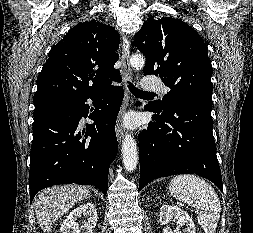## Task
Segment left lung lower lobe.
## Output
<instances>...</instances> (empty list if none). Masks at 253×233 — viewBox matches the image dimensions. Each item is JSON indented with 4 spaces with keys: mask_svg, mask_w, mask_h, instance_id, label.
Here are the masks:
<instances>
[{
    "mask_svg": "<svg viewBox=\"0 0 253 233\" xmlns=\"http://www.w3.org/2000/svg\"><path fill=\"white\" fill-rule=\"evenodd\" d=\"M144 109L155 113L156 122H150L139 135V190L160 177L197 174L223 191L212 132V103L194 99L165 111L154 103Z\"/></svg>",
    "mask_w": 253,
    "mask_h": 233,
    "instance_id": "obj_1",
    "label": "left lung lower lobe"
}]
</instances>
